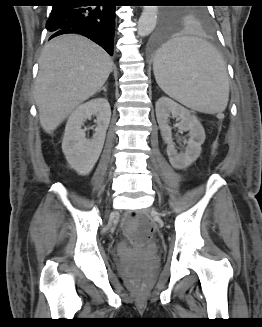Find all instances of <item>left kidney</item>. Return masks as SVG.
<instances>
[{
  "mask_svg": "<svg viewBox=\"0 0 262 327\" xmlns=\"http://www.w3.org/2000/svg\"><path fill=\"white\" fill-rule=\"evenodd\" d=\"M157 122L161 135L167 143V155L175 169H185L190 166L200 155L201 145L205 141V131L197 117L187 108L179 105L168 97H161L155 105ZM179 117L178 128L189 131L190 138L184 153L178 154L172 142V132L168 125L169 117Z\"/></svg>",
  "mask_w": 262,
  "mask_h": 327,
  "instance_id": "obj_1",
  "label": "left kidney"
}]
</instances>
